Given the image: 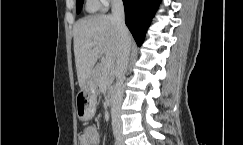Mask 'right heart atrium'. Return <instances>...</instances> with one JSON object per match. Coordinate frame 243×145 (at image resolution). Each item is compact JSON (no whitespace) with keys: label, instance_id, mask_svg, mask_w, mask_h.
Instances as JSON below:
<instances>
[{"label":"right heart atrium","instance_id":"right-heart-atrium-1","mask_svg":"<svg viewBox=\"0 0 243 145\" xmlns=\"http://www.w3.org/2000/svg\"><path fill=\"white\" fill-rule=\"evenodd\" d=\"M98 1L102 6H107V5H109V3H111L112 1H115V0H98Z\"/></svg>","mask_w":243,"mask_h":145}]
</instances>
